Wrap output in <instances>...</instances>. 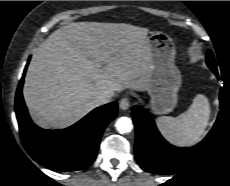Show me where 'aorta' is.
Masks as SVG:
<instances>
[{
	"label": "aorta",
	"instance_id": "1",
	"mask_svg": "<svg viewBox=\"0 0 230 186\" xmlns=\"http://www.w3.org/2000/svg\"><path fill=\"white\" fill-rule=\"evenodd\" d=\"M115 127L119 133L124 134L131 132L133 125L130 118L120 117L117 119Z\"/></svg>",
	"mask_w": 230,
	"mask_h": 186
}]
</instances>
